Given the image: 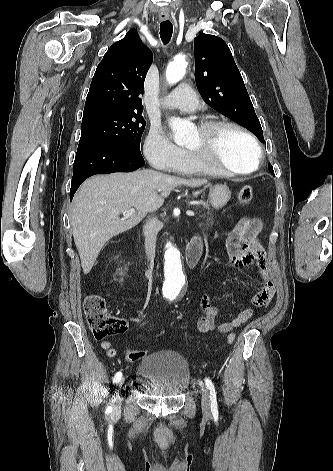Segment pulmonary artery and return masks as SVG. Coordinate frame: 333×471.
Segmentation results:
<instances>
[{"mask_svg":"<svg viewBox=\"0 0 333 471\" xmlns=\"http://www.w3.org/2000/svg\"><path fill=\"white\" fill-rule=\"evenodd\" d=\"M161 105L164 108L194 112L198 107V99L195 92L188 84H180L161 100Z\"/></svg>","mask_w":333,"mask_h":471,"instance_id":"obj_1","label":"pulmonary artery"}]
</instances>
